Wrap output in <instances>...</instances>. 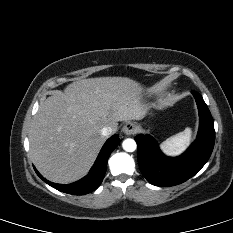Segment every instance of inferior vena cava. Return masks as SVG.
Here are the masks:
<instances>
[{
	"label": "inferior vena cava",
	"mask_w": 233,
	"mask_h": 233,
	"mask_svg": "<svg viewBox=\"0 0 233 233\" xmlns=\"http://www.w3.org/2000/svg\"><path fill=\"white\" fill-rule=\"evenodd\" d=\"M113 133V129L111 127H103L101 130V135L104 137H108Z\"/></svg>",
	"instance_id": "obj_1"
}]
</instances>
